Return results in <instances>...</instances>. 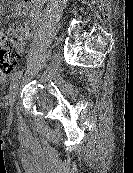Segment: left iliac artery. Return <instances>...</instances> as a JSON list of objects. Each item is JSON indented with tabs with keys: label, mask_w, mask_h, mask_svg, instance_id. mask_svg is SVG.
I'll return each mask as SVG.
<instances>
[{
	"label": "left iliac artery",
	"mask_w": 133,
	"mask_h": 173,
	"mask_svg": "<svg viewBox=\"0 0 133 173\" xmlns=\"http://www.w3.org/2000/svg\"><path fill=\"white\" fill-rule=\"evenodd\" d=\"M22 74H23V70L16 72L12 76V78H11V80H12V82H11V89L14 87L15 83L22 77Z\"/></svg>",
	"instance_id": "left-iliac-artery-1"
}]
</instances>
